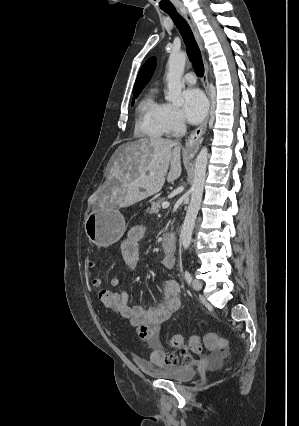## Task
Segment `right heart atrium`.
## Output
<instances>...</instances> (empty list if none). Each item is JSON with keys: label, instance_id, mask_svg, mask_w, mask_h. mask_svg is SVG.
Wrapping results in <instances>:
<instances>
[{"label": "right heart atrium", "instance_id": "right-heart-atrium-1", "mask_svg": "<svg viewBox=\"0 0 299 426\" xmlns=\"http://www.w3.org/2000/svg\"><path fill=\"white\" fill-rule=\"evenodd\" d=\"M165 126L167 133L171 134L178 133L185 127L180 111L170 104H166L165 108Z\"/></svg>", "mask_w": 299, "mask_h": 426}]
</instances>
